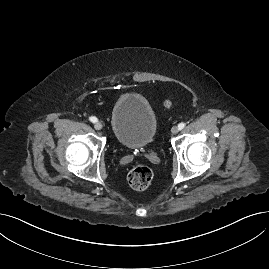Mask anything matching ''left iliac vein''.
I'll return each instance as SVG.
<instances>
[{"mask_svg": "<svg viewBox=\"0 0 269 269\" xmlns=\"http://www.w3.org/2000/svg\"><path fill=\"white\" fill-rule=\"evenodd\" d=\"M179 132V128L177 126H173L171 129L172 134H177Z\"/></svg>", "mask_w": 269, "mask_h": 269, "instance_id": "left-iliac-vein-1", "label": "left iliac vein"}]
</instances>
